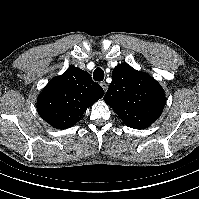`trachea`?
Returning a JSON list of instances; mask_svg holds the SVG:
<instances>
[{"label":"trachea","instance_id":"obj_1","mask_svg":"<svg viewBox=\"0 0 199 199\" xmlns=\"http://www.w3.org/2000/svg\"><path fill=\"white\" fill-rule=\"evenodd\" d=\"M93 79L98 82L103 81L104 71L101 68H96L93 72Z\"/></svg>","mask_w":199,"mask_h":199}]
</instances>
